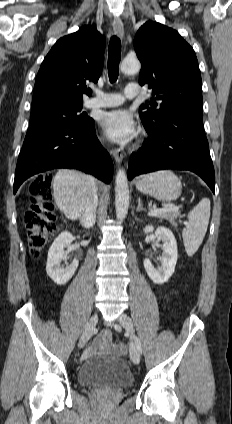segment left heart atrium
<instances>
[{"label":"left heart atrium","mask_w":232,"mask_h":424,"mask_svg":"<svg viewBox=\"0 0 232 424\" xmlns=\"http://www.w3.org/2000/svg\"><path fill=\"white\" fill-rule=\"evenodd\" d=\"M101 125L108 137L117 143H127L137 133L131 114L124 110L105 113L102 116Z\"/></svg>","instance_id":"1"}]
</instances>
